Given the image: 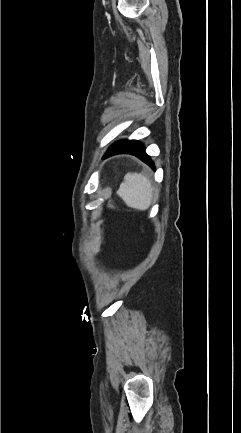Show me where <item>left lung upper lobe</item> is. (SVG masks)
Segmentation results:
<instances>
[{
    "label": "left lung upper lobe",
    "instance_id": "5c2ea615",
    "mask_svg": "<svg viewBox=\"0 0 241 433\" xmlns=\"http://www.w3.org/2000/svg\"><path fill=\"white\" fill-rule=\"evenodd\" d=\"M136 140H122V141H117L116 143H114L109 149L108 151L115 149L117 147H121V146H127L133 142H135Z\"/></svg>",
    "mask_w": 241,
    "mask_h": 433
}]
</instances>
